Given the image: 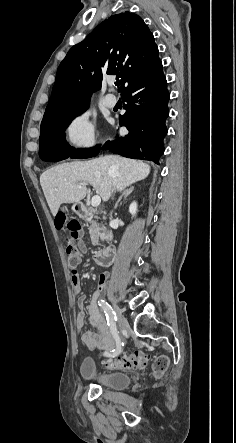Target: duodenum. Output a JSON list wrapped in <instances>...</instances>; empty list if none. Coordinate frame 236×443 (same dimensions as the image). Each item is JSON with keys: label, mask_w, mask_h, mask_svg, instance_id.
<instances>
[{"label": "duodenum", "mask_w": 236, "mask_h": 443, "mask_svg": "<svg viewBox=\"0 0 236 443\" xmlns=\"http://www.w3.org/2000/svg\"><path fill=\"white\" fill-rule=\"evenodd\" d=\"M76 211L80 217H86L94 213L93 208L89 205H78L76 207ZM110 240L113 239L112 235H108ZM115 249L110 246L101 251H97L94 253V260L100 266H109L113 263Z\"/></svg>", "instance_id": "410a0bca"}]
</instances>
